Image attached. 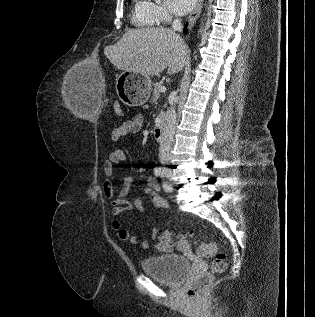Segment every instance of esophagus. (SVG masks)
<instances>
[{
    "label": "esophagus",
    "mask_w": 315,
    "mask_h": 317,
    "mask_svg": "<svg viewBox=\"0 0 315 317\" xmlns=\"http://www.w3.org/2000/svg\"><path fill=\"white\" fill-rule=\"evenodd\" d=\"M202 6H203V0H197V5H196L195 9L193 10V12L188 17V23H189V28L190 29L196 23V20L198 19L199 15L201 13Z\"/></svg>",
    "instance_id": "obj_1"
}]
</instances>
